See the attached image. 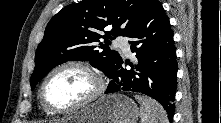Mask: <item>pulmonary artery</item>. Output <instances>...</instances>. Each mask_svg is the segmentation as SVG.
I'll return each mask as SVG.
<instances>
[{
	"mask_svg": "<svg viewBox=\"0 0 221 123\" xmlns=\"http://www.w3.org/2000/svg\"><path fill=\"white\" fill-rule=\"evenodd\" d=\"M115 45L117 47H119L125 54H130V45L127 41V39L123 38V37H118L115 40Z\"/></svg>",
	"mask_w": 221,
	"mask_h": 123,
	"instance_id": "obj_1",
	"label": "pulmonary artery"
}]
</instances>
